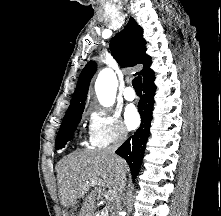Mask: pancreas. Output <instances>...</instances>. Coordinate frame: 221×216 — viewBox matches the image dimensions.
<instances>
[{
    "mask_svg": "<svg viewBox=\"0 0 221 216\" xmlns=\"http://www.w3.org/2000/svg\"><path fill=\"white\" fill-rule=\"evenodd\" d=\"M100 216H113L109 213V211L107 209L102 210Z\"/></svg>",
    "mask_w": 221,
    "mask_h": 216,
    "instance_id": "pancreas-1",
    "label": "pancreas"
}]
</instances>
